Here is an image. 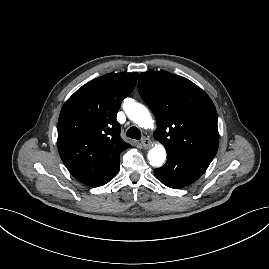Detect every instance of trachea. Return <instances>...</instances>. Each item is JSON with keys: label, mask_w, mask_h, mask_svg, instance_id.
I'll use <instances>...</instances> for the list:
<instances>
[{"label": "trachea", "mask_w": 269, "mask_h": 269, "mask_svg": "<svg viewBox=\"0 0 269 269\" xmlns=\"http://www.w3.org/2000/svg\"><path fill=\"white\" fill-rule=\"evenodd\" d=\"M126 136L132 139L140 140L141 138V132L137 127H130L127 132Z\"/></svg>", "instance_id": "trachea-1"}]
</instances>
